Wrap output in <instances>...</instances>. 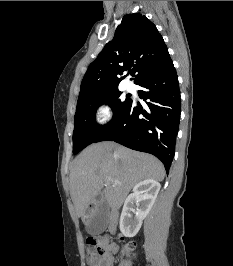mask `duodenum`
<instances>
[{
  "label": "duodenum",
  "instance_id": "obj_1",
  "mask_svg": "<svg viewBox=\"0 0 233 266\" xmlns=\"http://www.w3.org/2000/svg\"><path fill=\"white\" fill-rule=\"evenodd\" d=\"M116 226H117V218H116V214L113 213L111 215L110 223H109V229H110V231L114 232L116 230Z\"/></svg>",
  "mask_w": 233,
  "mask_h": 266
}]
</instances>
